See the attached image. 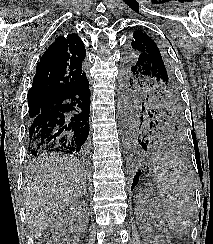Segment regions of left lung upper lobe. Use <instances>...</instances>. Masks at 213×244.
I'll return each mask as SVG.
<instances>
[{
  "mask_svg": "<svg viewBox=\"0 0 213 244\" xmlns=\"http://www.w3.org/2000/svg\"><path fill=\"white\" fill-rule=\"evenodd\" d=\"M124 105L153 121L165 137L185 129L183 103L170 61L141 30L133 33L122 66Z\"/></svg>",
  "mask_w": 213,
  "mask_h": 244,
  "instance_id": "left-lung-upper-lobe-1",
  "label": "left lung upper lobe"
}]
</instances>
